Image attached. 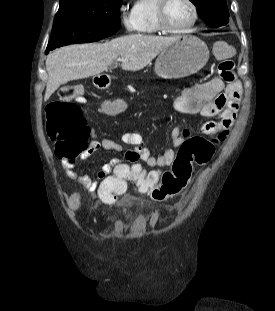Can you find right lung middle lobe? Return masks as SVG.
Segmentation results:
<instances>
[{"mask_svg": "<svg viewBox=\"0 0 275 311\" xmlns=\"http://www.w3.org/2000/svg\"><path fill=\"white\" fill-rule=\"evenodd\" d=\"M123 0H60L46 54L58 47L101 40L120 28Z\"/></svg>", "mask_w": 275, "mask_h": 311, "instance_id": "obj_1", "label": "right lung middle lobe"}]
</instances>
